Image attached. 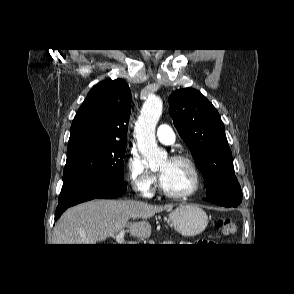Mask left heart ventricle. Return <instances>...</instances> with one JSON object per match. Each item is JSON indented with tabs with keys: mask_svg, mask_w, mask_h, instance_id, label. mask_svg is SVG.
<instances>
[{
	"mask_svg": "<svg viewBox=\"0 0 294 294\" xmlns=\"http://www.w3.org/2000/svg\"><path fill=\"white\" fill-rule=\"evenodd\" d=\"M158 171L164 188L169 192L186 193L193 187V173L183 162L165 160Z\"/></svg>",
	"mask_w": 294,
	"mask_h": 294,
	"instance_id": "obj_1",
	"label": "left heart ventricle"
}]
</instances>
